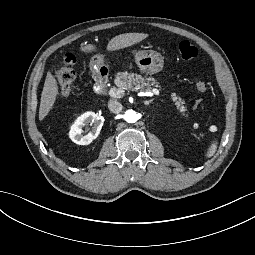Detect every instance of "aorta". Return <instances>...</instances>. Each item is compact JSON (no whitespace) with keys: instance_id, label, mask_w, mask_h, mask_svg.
Returning <instances> with one entry per match:
<instances>
[{"instance_id":"obj_1","label":"aorta","mask_w":255,"mask_h":255,"mask_svg":"<svg viewBox=\"0 0 255 255\" xmlns=\"http://www.w3.org/2000/svg\"><path fill=\"white\" fill-rule=\"evenodd\" d=\"M124 119L128 122V123H134L138 120V114L130 109V110H127L124 114Z\"/></svg>"}]
</instances>
